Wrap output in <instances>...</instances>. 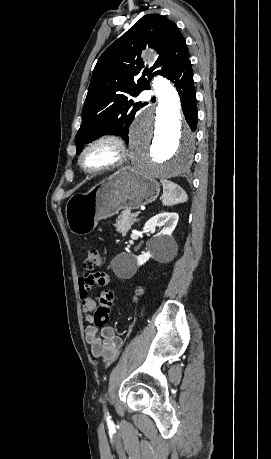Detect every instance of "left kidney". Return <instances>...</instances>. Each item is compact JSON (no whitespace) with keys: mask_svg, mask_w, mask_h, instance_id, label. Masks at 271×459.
<instances>
[{"mask_svg":"<svg viewBox=\"0 0 271 459\" xmlns=\"http://www.w3.org/2000/svg\"><path fill=\"white\" fill-rule=\"evenodd\" d=\"M178 220L179 216L175 212H162V214H157V216H153L146 222L143 231L155 229L157 226H164V228L148 243V251L146 253L134 255L131 263L133 269H137L138 265H143L145 261H148L149 257L160 259L162 255L171 251L175 243L171 233L176 228Z\"/></svg>","mask_w":271,"mask_h":459,"instance_id":"1","label":"left kidney"}]
</instances>
